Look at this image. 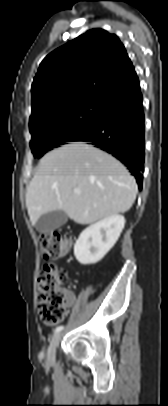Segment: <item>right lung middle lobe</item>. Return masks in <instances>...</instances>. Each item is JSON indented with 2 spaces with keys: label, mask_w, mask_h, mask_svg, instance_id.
<instances>
[{
  "label": "right lung middle lobe",
  "mask_w": 168,
  "mask_h": 406,
  "mask_svg": "<svg viewBox=\"0 0 168 406\" xmlns=\"http://www.w3.org/2000/svg\"><path fill=\"white\" fill-rule=\"evenodd\" d=\"M103 112L102 99H90L61 109L29 124L34 157L70 142L95 125Z\"/></svg>",
  "instance_id": "right-lung-middle-lobe-1"
}]
</instances>
